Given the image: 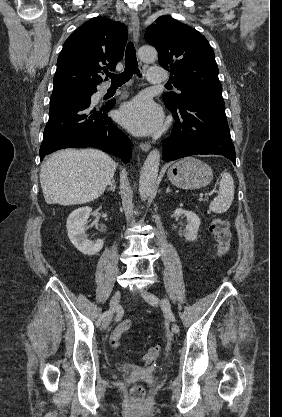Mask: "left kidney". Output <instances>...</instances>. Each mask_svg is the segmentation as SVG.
I'll use <instances>...</instances> for the list:
<instances>
[{
    "label": "left kidney",
    "instance_id": "1",
    "mask_svg": "<svg viewBox=\"0 0 282 417\" xmlns=\"http://www.w3.org/2000/svg\"><path fill=\"white\" fill-rule=\"evenodd\" d=\"M179 215H184V217H187L188 225H186V229L184 231V237L186 241H195V239H197L201 223L199 217H197L196 213H192V211H184V209H176L172 217H179Z\"/></svg>",
    "mask_w": 282,
    "mask_h": 417
}]
</instances>
